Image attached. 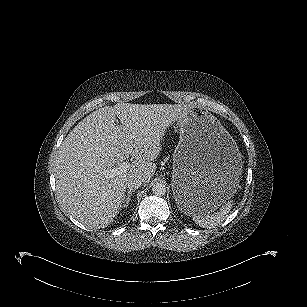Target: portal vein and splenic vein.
Segmentation results:
<instances>
[{"label": "portal vein and splenic vein", "mask_w": 307, "mask_h": 307, "mask_svg": "<svg viewBox=\"0 0 307 307\" xmlns=\"http://www.w3.org/2000/svg\"><path fill=\"white\" fill-rule=\"evenodd\" d=\"M128 166H129L128 162H123V163H121L120 165L116 166L113 169L106 170L105 171V175L107 177H112V176L119 175L122 172H125L127 170Z\"/></svg>", "instance_id": "18ae733b"}]
</instances>
